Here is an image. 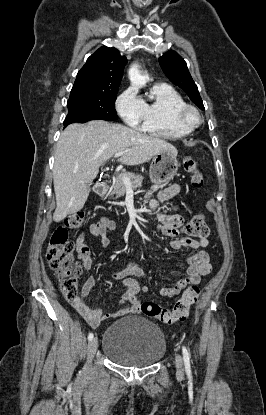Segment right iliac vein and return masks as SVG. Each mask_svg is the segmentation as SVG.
Masks as SVG:
<instances>
[{
	"mask_svg": "<svg viewBox=\"0 0 266 415\" xmlns=\"http://www.w3.org/2000/svg\"><path fill=\"white\" fill-rule=\"evenodd\" d=\"M98 348V340L97 338H93L92 340L89 341L88 343V348H87V365L90 366L92 359L97 351Z\"/></svg>",
	"mask_w": 266,
	"mask_h": 415,
	"instance_id": "63e3f726",
	"label": "right iliac vein"
}]
</instances>
